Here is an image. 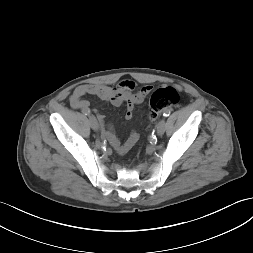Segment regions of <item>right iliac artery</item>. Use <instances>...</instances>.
<instances>
[{"mask_svg": "<svg viewBox=\"0 0 253 253\" xmlns=\"http://www.w3.org/2000/svg\"><path fill=\"white\" fill-rule=\"evenodd\" d=\"M84 114L85 115H90V111L88 110V111L84 112Z\"/></svg>", "mask_w": 253, "mask_h": 253, "instance_id": "82829eb1", "label": "right iliac artery"}]
</instances>
